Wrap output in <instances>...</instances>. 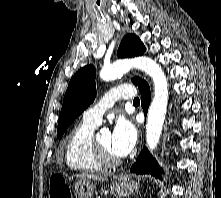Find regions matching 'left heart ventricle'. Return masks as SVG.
I'll use <instances>...</instances> for the list:
<instances>
[{
  "label": "left heart ventricle",
  "mask_w": 221,
  "mask_h": 198,
  "mask_svg": "<svg viewBox=\"0 0 221 198\" xmlns=\"http://www.w3.org/2000/svg\"><path fill=\"white\" fill-rule=\"evenodd\" d=\"M97 139L112 156L118 157L111 148V134L109 132H103Z\"/></svg>",
  "instance_id": "1"
}]
</instances>
